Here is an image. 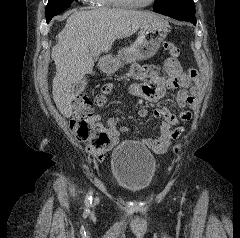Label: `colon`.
I'll return each instance as SVG.
<instances>
[{
    "label": "colon",
    "instance_id": "1",
    "mask_svg": "<svg viewBox=\"0 0 240 238\" xmlns=\"http://www.w3.org/2000/svg\"><path fill=\"white\" fill-rule=\"evenodd\" d=\"M164 47L173 58L180 55L179 47L173 42H165ZM93 105L87 94H80L74 99L70 129L78 139L87 141V152L100 159L109 146L111 137L101 125L90 121ZM180 148L181 145L176 144L173 150L177 153Z\"/></svg>",
    "mask_w": 240,
    "mask_h": 238
}]
</instances>
